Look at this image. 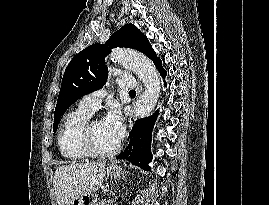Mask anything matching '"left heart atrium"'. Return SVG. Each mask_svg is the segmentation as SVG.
Segmentation results:
<instances>
[{"mask_svg": "<svg viewBox=\"0 0 269 205\" xmlns=\"http://www.w3.org/2000/svg\"><path fill=\"white\" fill-rule=\"evenodd\" d=\"M102 124L107 133L117 142L121 139L124 133L123 119L120 108L117 104H111L107 110Z\"/></svg>", "mask_w": 269, "mask_h": 205, "instance_id": "1", "label": "left heart atrium"}]
</instances>
